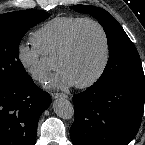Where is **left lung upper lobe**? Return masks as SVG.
<instances>
[{"instance_id": "1", "label": "left lung upper lobe", "mask_w": 145, "mask_h": 145, "mask_svg": "<svg viewBox=\"0 0 145 145\" xmlns=\"http://www.w3.org/2000/svg\"><path fill=\"white\" fill-rule=\"evenodd\" d=\"M77 12L95 17L106 32L110 55L103 74L93 87L144 77L140 56L121 25L106 10L89 5H74Z\"/></svg>"}]
</instances>
